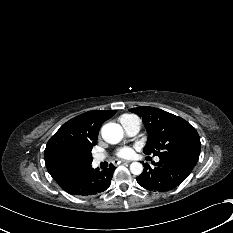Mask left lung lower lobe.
<instances>
[{"label":"left lung lower lobe","instance_id":"obj_1","mask_svg":"<svg viewBox=\"0 0 233 233\" xmlns=\"http://www.w3.org/2000/svg\"><path fill=\"white\" fill-rule=\"evenodd\" d=\"M154 167L143 163L144 171L136 180L140 186L150 191H169L180 185L192 169L169 158L160 157L159 162H152Z\"/></svg>","mask_w":233,"mask_h":233}]
</instances>
